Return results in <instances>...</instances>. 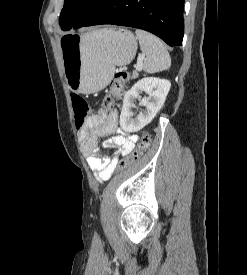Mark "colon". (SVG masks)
I'll return each mask as SVG.
<instances>
[{"label": "colon", "instance_id": "5ec220e1", "mask_svg": "<svg viewBox=\"0 0 247 275\" xmlns=\"http://www.w3.org/2000/svg\"><path fill=\"white\" fill-rule=\"evenodd\" d=\"M129 79L128 71L119 69L116 71L111 83L109 92L105 98L104 104L106 108L111 109L115 102L123 95L125 84ZM72 105L77 128H81L90 114V106L88 102L77 94H72ZM151 142L150 135L143 133L136 149L121 159L117 164V170L123 171L132 164L136 163L141 155L147 150Z\"/></svg>", "mask_w": 247, "mask_h": 275}]
</instances>
